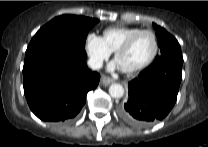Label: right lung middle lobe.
Returning <instances> with one entry per match:
<instances>
[{"label": "right lung middle lobe", "instance_id": "obj_1", "mask_svg": "<svg viewBox=\"0 0 208 147\" xmlns=\"http://www.w3.org/2000/svg\"><path fill=\"white\" fill-rule=\"evenodd\" d=\"M97 22L98 19L84 16L61 15L41 27L32 38L30 44L57 36H66L85 46L87 34Z\"/></svg>", "mask_w": 208, "mask_h": 147}]
</instances>
